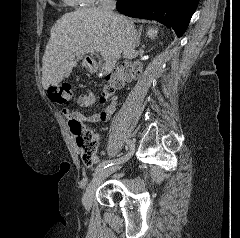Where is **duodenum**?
Wrapping results in <instances>:
<instances>
[{"label":"duodenum","instance_id":"duodenum-1","mask_svg":"<svg viewBox=\"0 0 240 238\" xmlns=\"http://www.w3.org/2000/svg\"><path fill=\"white\" fill-rule=\"evenodd\" d=\"M86 65H87V68L90 72L95 73V72L98 71L99 65H98L96 60H94L92 58H87ZM128 67L129 66L127 65L124 68H128Z\"/></svg>","mask_w":240,"mask_h":238}]
</instances>
